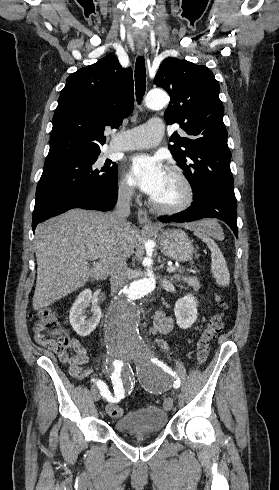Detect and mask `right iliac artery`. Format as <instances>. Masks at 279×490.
I'll return each instance as SVG.
<instances>
[{
  "label": "right iliac artery",
  "mask_w": 279,
  "mask_h": 490,
  "mask_svg": "<svg viewBox=\"0 0 279 490\" xmlns=\"http://www.w3.org/2000/svg\"><path fill=\"white\" fill-rule=\"evenodd\" d=\"M112 365L114 367V372L112 373L111 380L114 385L113 386L114 392L112 393V396L114 398L111 396V393L108 390L107 385L103 381H101L99 378H96L95 379L96 381L94 383L97 384L98 388L100 389L101 396H103L110 402H118L119 398H122L125 395L124 393L126 389L125 386L126 381L124 378H119L120 370L123 365L122 360L121 359L115 360L114 362H112Z\"/></svg>",
  "instance_id": "82829eb1"
}]
</instances>
